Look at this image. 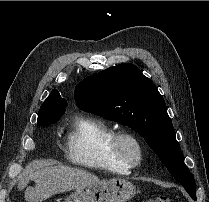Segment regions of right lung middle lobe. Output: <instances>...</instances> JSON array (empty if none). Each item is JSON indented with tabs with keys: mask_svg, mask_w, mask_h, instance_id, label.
Masks as SVG:
<instances>
[{
	"mask_svg": "<svg viewBox=\"0 0 209 202\" xmlns=\"http://www.w3.org/2000/svg\"><path fill=\"white\" fill-rule=\"evenodd\" d=\"M64 113L65 108H53L42 110L41 107L38 113V119H44L46 121V124H41V126L46 127L57 122Z\"/></svg>",
	"mask_w": 209,
	"mask_h": 202,
	"instance_id": "right-lung-middle-lobe-1",
	"label": "right lung middle lobe"
}]
</instances>
